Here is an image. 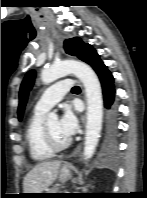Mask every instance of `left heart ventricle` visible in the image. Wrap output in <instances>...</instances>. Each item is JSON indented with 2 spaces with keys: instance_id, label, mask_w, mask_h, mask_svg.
<instances>
[{
  "instance_id": "b2bd125f",
  "label": "left heart ventricle",
  "mask_w": 147,
  "mask_h": 198,
  "mask_svg": "<svg viewBox=\"0 0 147 198\" xmlns=\"http://www.w3.org/2000/svg\"><path fill=\"white\" fill-rule=\"evenodd\" d=\"M46 127L55 143L64 144L67 142V140L63 138L59 132L58 121L50 122L49 124L46 125Z\"/></svg>"
}]
</instances>
